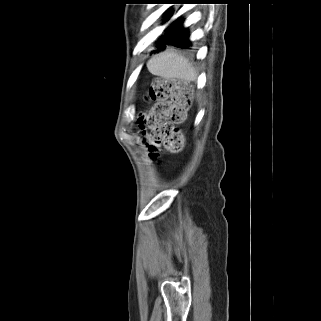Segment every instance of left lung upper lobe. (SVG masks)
I'll list each match as a JSON object with an SVG mask.
<instances>
[{"label":"left lung upper lobe","mask_w":321,"mask_h":321,"mask_svg":"<svg viewBox=\"0 0 321 321\" xmlns=\"http://www.w3.org/2000/svg\"><path fill=\"white\" fill-rule=\"evenodd\" d=\"M162 1H164V2H166V3H181V1H183V0H162ZM168 11V10H167ZM171 13L169 12L168 14H167V16H169ZM163 37V36H162ZM161 37V38H162Z\"/></svg>","instance_id":"left-lung-upper-lobe-1"}]
</instances>
